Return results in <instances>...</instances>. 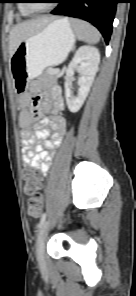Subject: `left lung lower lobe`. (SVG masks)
<instances>
[{
	"label": "left lung lower lobe",
	"mask_w": 136,
	"mask_h": 296,
	"mask_svg": "<svg viewBox=\"0 0 136 296\" xmlns=\"http://www.w3.org/2000/svg\"><path fill=\"white\" fill-rule=\"evenodd\" d=\"M59 3V7L51 11L52 14L81 18L92 23L108 44L119 0H60Z\"/></svg>",
	"instance_id": "left-lung-lower-lobe-1"
}]
</instances>
